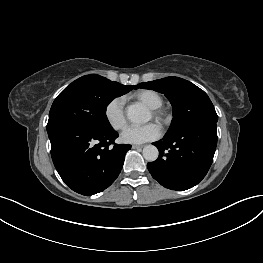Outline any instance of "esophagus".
<instances>
[{
	"label": "esophagus",
	"instance_id": "obj_1",
	"mask_svg": "<svg viewBox=\"0 0 263 263\" xmlns=\"http://www.w3.org/2000/svg\"><path fill=\"white\" fill-rule=\"evenodd\" d=\"M133 149H141L143 148V145H132Z\"/></svg>",
	"mask_w": 263,
	"mask_h": 263
}]
</instances>
